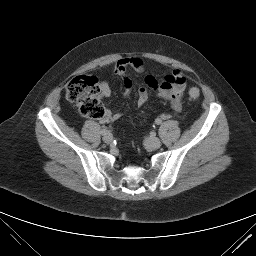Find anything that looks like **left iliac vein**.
Segmentation results:
<instances>
[{
	"label": "left iliac vein",
	"instance_id": "obj_1",
	"mask_svg": "<svg viewBox=\"0 0 256 256\" xmlns=\"http://www.w3.org/2000/svg\"><path fill=\"white\" fill-rule=\"evenodd\" d=\"M145 145L149 148V149H158L161 146V140L157 137H149L146 139L145 141Z\"/></svg>",
	"mask_w": 256,
	"mask_h": 256
}]
</instances>
